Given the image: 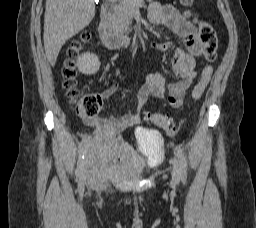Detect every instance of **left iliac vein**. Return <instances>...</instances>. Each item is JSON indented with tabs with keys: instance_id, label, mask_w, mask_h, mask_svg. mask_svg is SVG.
Returning a JSON list of instances; mask_svg holds the SVG:
<instances>
[{
	"instance_id": "1",
	"label": "left iliac vein",
	"mask_w": 256,
	"mask_h": 228,
	"mask_svg": "<svg viewBox=\"0 0 256 228\" xmlns=\"http://www.w3.org/2000/svg\"><path fill=\"white\" fill-rule=\"evenodd\" d=\"M172 165H173V170H172V183L174 185L178 184L180 175H179V165L178 161L174 158L172 159Z\"/></svg>"
}]
</instances>
